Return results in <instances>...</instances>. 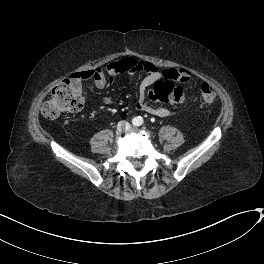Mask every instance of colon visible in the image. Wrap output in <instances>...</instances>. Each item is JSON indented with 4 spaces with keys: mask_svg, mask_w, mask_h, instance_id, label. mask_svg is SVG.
<instances>
[{
    "mask_svg": "<svg viewBox=\"0 0 264 264\" xmlns=\"http://www.w3.org/2000/svg\"><path fill=\"white\" fill-rule=\"evenodd\" d=\"M163 74L164 78L156 82L151 90V97L164 103L185 102L188 94L175 83L185 81L186 75L176 67L164 70ZM201 97L206 104H212L215 100V93L207 84H204L201 87ZM85 103L86 93L82 89L80 80L71 77L58 83L52 89L48 99L42 104V114L48 119H56L64 113L82 110Z\"/></svg>",
    "mask_w": 264,
    "mask_h": 264,
    "instance_id": "colon-1",
    "label": "colon"
}]
</instances>
